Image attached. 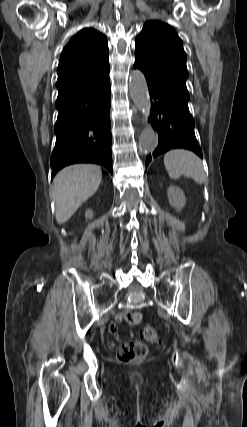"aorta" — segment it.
Masks as SVG:
<instances>
[{
  "mask_svg": "<svg viewBox=\"0 0 247 427\" xmlns=\"http://www.w3.org/2000/svg\"><path fill=\"white\" fill-rule=\"evenodd\" d=\"M129 90L135 105L147 120L150 114V96L144 74L139 70H134L130 74ZM158 143L157 133L150 124L141 132L139 138V152L148 154L155 150Z\"/></svg>",
  "mask_w": 247,
  "mask_h": 427,
  "instance_id": "obj_1",
  "label": "aorta"
}]
</instances>
